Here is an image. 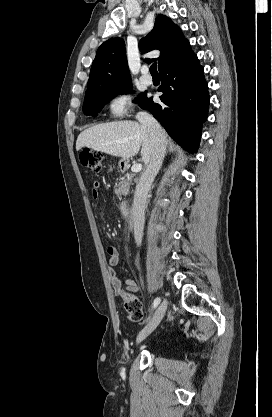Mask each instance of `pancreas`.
I'll return each instance as SVG.
<instances>
[{"mask_svg":"<svg viewBox=\"0 0 272 417\" xmlns=\"http://www.w3.org/2000/svg\"><path fill=\"white\" fill-rule=\"evenodd\" d=\"M131 177L129 175L126 178H122L118 185L115 186V194L121 197L122 193L128 191L130 188Z\"/></svg>","mask_w":272,"mask_h":417,"instance_id":"obj_1","label":"pancreas"}]
</instances>
